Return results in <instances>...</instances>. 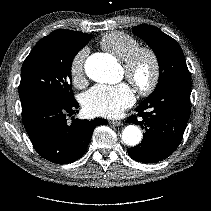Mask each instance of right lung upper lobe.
Wrapping results in <instances>:
<instances>
[{
	"instance_id": "1",
	"label": "right lung upper lobe",
	"mask_w": 211,
	"mask_h": 211,
	"mask_svg": "<svg viewBox=\"0 0 211 211\" xmlns=\"http://www.w3.org/2000/svg\"><path fill=\"white\" fill-rule=\"evenodd\" d=\"M71 30H56L54 32H52L51 34H60V33H66V32H70Z\"/></svg>"
}]
</instances>
